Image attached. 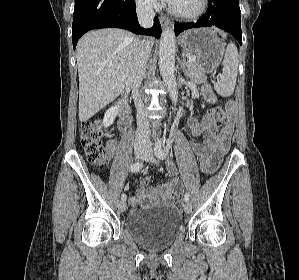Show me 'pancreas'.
Listing matches in <instances>:
<instances>
[{
	"mask_svg": "<svg viewBox=\"0 0 299 280\" xmlns=\"http://www.w3.org/2000/svg\"><path fill=\"white\" fill-rule=\"evenodd\" d=\"M186 69L192 83L202 84L207 81V77L203 73L199 62L196 59L194 61H187Z\"/></svg>",
	"mask_w": 299,
	"mask_h": 280,
	"instance_id": "cf45deb5",
	"label": "pancreas"
}]
</instances>
